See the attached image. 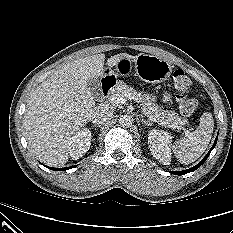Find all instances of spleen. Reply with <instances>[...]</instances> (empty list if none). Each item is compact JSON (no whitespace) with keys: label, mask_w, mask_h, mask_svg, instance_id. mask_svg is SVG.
<instances>
[{"label":"spleen","mask_w":233,"mask_h":233,"mask_svg":"<svg viewBox=\"0 0 233 233\" xmlns=\"http://www.w3.org/2000/svg\"><path fill=\"white\" fill-rule=\"evenodd\" d=\"M213 128L212 114L203 113L198 128L174 143L173 151L176 158L182 164L196 161L205 152L211 140Z\"/></svg>","instance_id":"spleen-1"}]
</instances>
